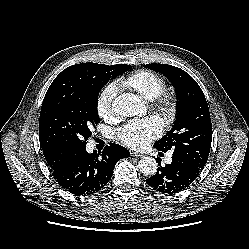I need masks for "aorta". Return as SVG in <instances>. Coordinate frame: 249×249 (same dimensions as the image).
Instances as JSON below:
<instances>
[{
    "mask_svg": "<svg viewBox=\"0 0 249 249\" xmlns=\"http://www.w3.org/2000/svg\"><path fill=\"white\" fill-rule=\"evenodd\" d=\"M112 109L120 116L132 117L142 114L144 105L138 96L131 93H124L115 98L112 103ZM138 168L143 175L152 176L157 172L158 164L153 157L146 156L140 159Z\"/></svg>",
    "mask_w": 249,
    "mask_h": 249,
    "instance_id": "762f6f07",
    "label": "aorta"
}]
</instances>
